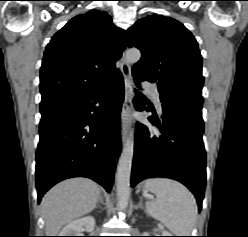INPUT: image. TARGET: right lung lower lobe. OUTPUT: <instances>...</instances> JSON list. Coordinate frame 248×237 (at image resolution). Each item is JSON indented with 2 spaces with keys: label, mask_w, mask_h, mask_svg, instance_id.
Wrapping results in <instances>:
<instances>
[{
  "label": "right lung lower lobe",
  "mask_w": 248,
  "mask_h": 237,
  "mask_svg": "<svg viewBox=\"0 0 248 237\" xmlns=\"http://www.w3.org/2000/svg\"><path fill=\"white\" fill-rule=\"evenodd\" d=\"M123 100L124 83L119 74L84 94L40 104L38 203L52 186L72 177L90 178L110 192L121 151Z\"/></svg>",
  "instance_id": "right-lung-lower-lobe-1"
}]
</instances>
